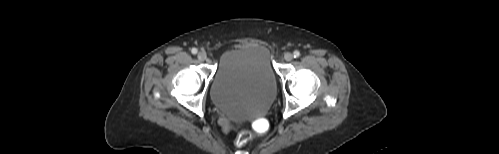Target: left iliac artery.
I'll list each match as a JSON object with an SVG mask.
<instances>
[{
    "mask_svg": "<svg viewBox=\"0 0 499 154\" xmlns=\"http://www.w3.org/2000/svg\"><path fill=\"white\" fill-rule=\"evenodd\" d=\"M293 55H294V58H298L300 56V52L296 50V51H294Z\"/></svg>",
    "mask_w": 499,
    "mask_h": 154,
    "instance_id": "1",
    "label": "left iliac artery"
}]
</instances>
